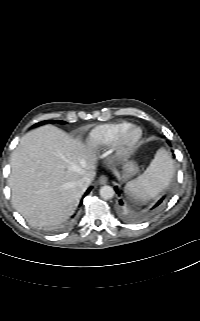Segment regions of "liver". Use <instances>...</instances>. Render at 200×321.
Instances as JSON below:
<instances>
[{
  "mask_svg": "<svg viewBox=\"0 0 200 321\" xmlns=\"http://www.w3.org/2000/svg\"><path fill=\"white\" fill-rule=\"evenodd\" d=\"M96 160L92 148L55 126L29 131L11 156L14 208L34 227L63 222L84 193L76 182L82 177L93 180Z\"/></svg>",
  "mask_w": 200,
  "mask_h": 321,
  "instance_id": "6515ba94",
  "label": "liver"
}]
</instances>
